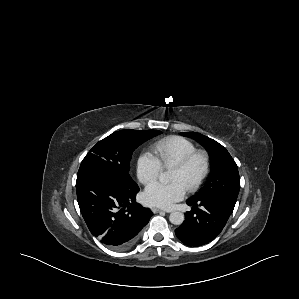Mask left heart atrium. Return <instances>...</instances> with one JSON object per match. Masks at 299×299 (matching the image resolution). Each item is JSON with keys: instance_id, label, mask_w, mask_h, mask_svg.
Returning <instances> with one entry per match:
<instances>
[{"instance_id": "left-heart-atrium-1", "label": "left heart atrium", "mask_w": 299, "mask_h": 299, "mask_svg": "<svg viewBox=\"0 0 299 299\" xmlns=\"http://www.w3.org/2000/svg\"><path fill=\"white\" fill-rule=\"evenodd\" d=\"M186 187L178 181L169 184L154 182L148 185L143 193V200L150 206L169 209L183 199Z\"/></svg>"}]
</instances>
